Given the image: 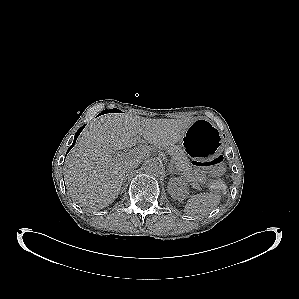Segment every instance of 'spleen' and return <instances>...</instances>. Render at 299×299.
Instances as JSON below:
<instances>
[{
    "label": "spleen",
    "instance_id": "obj_1",
    "mask_svg": "<svg viewBox=\"0 0 299 299\" xmlns=\"http://www.w3.org/2000/svg\"><path fill=\"white\" fill-rule=\"evenodd\" d=\"M221 200V192H206L193 195L187 201L184 211L190 216H204L215 209Z\"/></svg>",
    "mask_w": 299,
    "mask_h": 299
}]
</instances>
